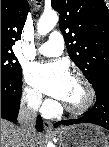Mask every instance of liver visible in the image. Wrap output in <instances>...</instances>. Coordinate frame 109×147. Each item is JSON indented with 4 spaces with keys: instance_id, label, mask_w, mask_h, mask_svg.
<instances>
[{
    "instance_id": "liver-1",
    "label": "liver",
    "mask_w": 109,
    "mask_h": 147,
    "mask_svg": "<svg viewBox=\"0 0 109 147\" xmlns=\"http://www.w3.org/2000/svg\"><path fill=\"white\" fill-rule=\"evenodd\" d=\"M22 139L23 134L19 127L7 120H1V147H22ZM38 139V134L34 133V145Z\"/></svg>"
}]
</instances>
